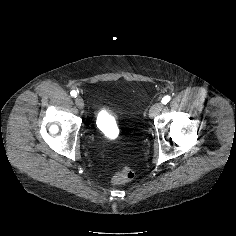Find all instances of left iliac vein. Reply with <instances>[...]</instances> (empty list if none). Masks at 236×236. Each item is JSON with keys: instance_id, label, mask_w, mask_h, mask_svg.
<instances>
[{"instance_id": "left-iliac-vein-1", "label": "left iliac vein", "mask_w": 236, "mask_h": 236, "mask_svg": "<svg viewBox=\"0 0 236 236\" xmlns=\"http://www.w3.org/2000/svg\"><path fill=\"white\" fill-rule=\"evenodd\" d=\"M162 108H163L162 103H156L152 105L149 111V117L154 118L155 116H157L161 112Z\"/></svg>"}]
</instances>
